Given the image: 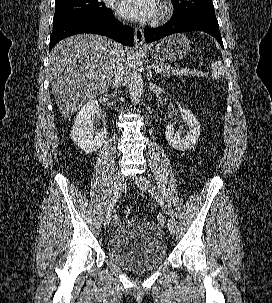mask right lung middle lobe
Wrapping results in <instances>:
<instances>
[{"label": "right lung middle lobe", "mask_w": 272, "mask_h": 303, "mask_svg": "<svg viewBox=\"0 0 272 303\" xmlns=\"http://www.w3.org/2000/svg\"><path fill=\"white\" fill-rule=\"evenodd\" d=\"M113 13L101 0H61L55 2L53 22L83 14L108 15Z\"/></svg>", "instance_id": "1"}]
</instances>
